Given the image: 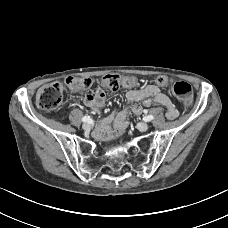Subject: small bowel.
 Masks as SVG:
<instances>
[{"mask_svg": "<svg viewBox=\"0 0 228 228\" xmlns=\"http://www.w3.org/2000/svg\"><path fill=\"white\" fill-rule=\"evenodd\" d=\"M126 100L131 104L118 113H112L99 121L98 135H110L112 132L111 125L118 132H123L127 127V117L130 113L140 115L143 106H152L155 104L162 105L166 108V116L168 119H175L178 116V110L172 103L170 98L164 94L156 85H147L141 89H131L126 92ZM105 101V94L100 88H96L93 94L84 97L83 103L89 107L94 113L99 114L100 109Z\"/></svg>", "mask_w": 228, "mask_h": 228, "instance_id": "1", "label": "small bowel"}]
</instances>
